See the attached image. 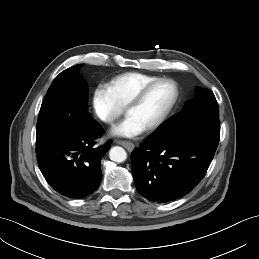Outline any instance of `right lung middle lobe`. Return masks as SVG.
I'll return each mask as SVG.
<instances>
[{"instance_id": "dd1d6c3e", "label": "right lung middle lobe", "mask_w": 259, "mask_h": 259, "mask_svg": "<svg viewBox=\"0 0 259 259\" xmlns=\"http://www.w3.org/2000/svg\"><path fill=\"white\" fill-rule=\"evenodd\" d=\"M74 65L62 71L52 82L42 102L36 127V142L57 129H75L91 120L86 110L87 84L80 68Z\"/></svg>"}]
</instances>
